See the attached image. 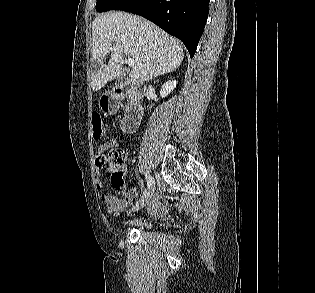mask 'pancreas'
Returning <instances> with one entry per match:
<instances>
[{"label":"pancreas","instance_id":"obj_1","mask_svg":"<svg viewBox=\"0 0 315 293\" xmlns=\"http://www.w3.org/2000/svg\"><path fill=\"white\" fill-rule=\"evenodd\" d=\"M133 97L129 98V101H132Z\"/></svg>","mask_w":315,"mask_h":293}]
</instances>
